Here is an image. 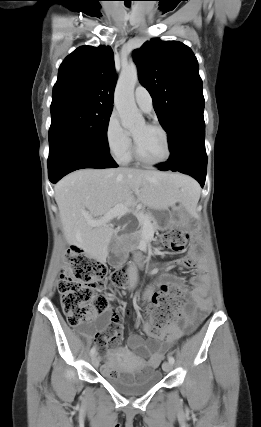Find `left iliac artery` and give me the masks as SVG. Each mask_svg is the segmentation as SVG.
I'll return each instance as SVG.
<instances>
[{"instance_id":"left-iliac-artery-1","label":"left iliac artery","mask_w":261,"mask_h":427,"mask_svg":"<svg viewBox=\"0 0 261 427\" xmlns=\"http://www.w3.org/2000/svg\"><path fill=\"white\" fill-rule=\"evenodd\" d=\"M168 361H169L171 364H174L175 359H174V357H173V356H169V357H168Z\"/></svg>"}]
</instances>
